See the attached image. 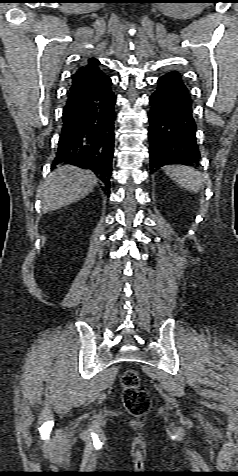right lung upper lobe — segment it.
Segmentation results:
<instances>
[{
	"mask_svg": "<svg viewBox=\"0 0 238 476\" xmlns=\"http://www.w3.org/2000/svg\"><path fill=\"white\" fill-rule=\"evenodd\" d=\"M99 65L98 60L90 58L85 65L77 69L72 76L66 106L83 98L107 77L98 67Z\"/></svg>",
	"mask_w": 238,
	"mask_h": 476,
	"instance_id": "cb5924a9",
	"label": "right lung upper lobe"
}]
</instances>
